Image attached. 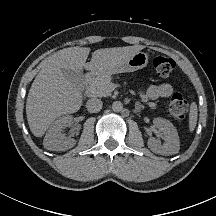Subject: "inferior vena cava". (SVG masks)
Returning <instances> with one entry per match:
<instances>
[{
	"label": "inferior vena cava",
	"mask_w": 216,
	"mask_h": 216,
	"mask_svg": "<svg viewBox=\"0 0 216 216\" xmlns=\"http://www.w3.org/2000/svg\"><path fill=\"white\" fill-rule=\"evenodd\" d=\"M102 101L98 98H91L86 103V108L90 113H97L102 109Z\"/></svg>",
	"instance_id": "1"
}]
</instances>
